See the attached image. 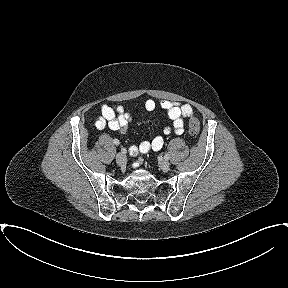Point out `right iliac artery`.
<instances>
[{
	"mask_svg": "<svg viewBox=\"0 0 288 288\" xmlns=\"http://www.w3.org/2000/svg\"><path fill=\"white\" fill-rule=\"evenodd\" d=\"M113 143H114L115 145H119V144H120V142H119L118 139H114V140H113Z\"/></svg>",
	"mask_w": 288,
	"mask_h": 288,
	"instance_id": "1",
	"label": "right iliac artery"
}]
</instances>
